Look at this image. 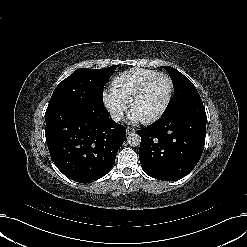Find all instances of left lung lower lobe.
I'll return each instance as SVG.
<instances>
[{"instance_id":"obj_1","label":"left lung lower lobe","mask_w":247,"mask_h":247,"mask_svg":"<svg viewBox=\"0 0 247 247\" xmlns=\"http://www.w3.org/2000/svg\"><path fill=\"white\" fill-rule=\"evenodd\" d=\"M206 122L205 108L198 101L138 130L139 159L144 172L163 181L185 177L203 153Z\"/></svg>"}]
</instances>
